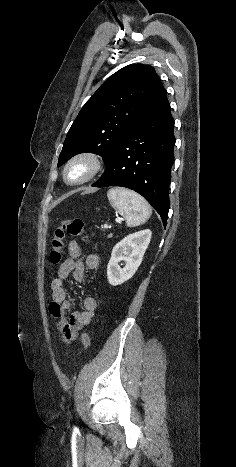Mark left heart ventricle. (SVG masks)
Masks as SVG:
<instances>
[{
	"label": "left heart ventricle",
	"mask_w": 236,
	"mask_h": 467,
	"mask_svg": "<svg viewBox=\"0 0 236 467\" xmlns=\"http://www.w3.org/2000/svg\"><path fill=\"white\" fill-rule=\"evenodd\" d=\"M89 171V165L86 162H77L73 164L67 172V180L74 182L82 179Z\"/></svg>",
	"instance_id": "left-heart-ventricle-1"
}]
</instances>
